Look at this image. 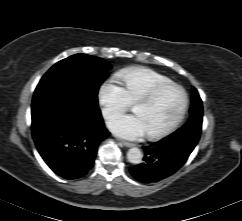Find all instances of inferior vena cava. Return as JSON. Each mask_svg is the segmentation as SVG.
Listing matches in <instances>:
<instances>
[{
    "label": "inferior vena cava",
    "instance_id": "1",
    "mask_svg": "<svg viewBox=\"0 0 242 221\" xmlns=\"http://www.w3.org/2000/svg\"><path fill=\"white\" fill-rule=\"evenodd\" d=\"M103 114H104V116L109 115V112L107 111V109H105V110L103 111Z\"/></svg>",
    "mask_w": 242,
    "mask_h": 221
}]
</instances>
